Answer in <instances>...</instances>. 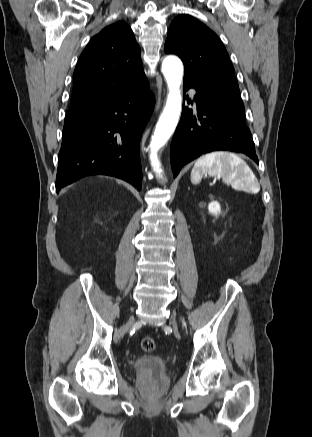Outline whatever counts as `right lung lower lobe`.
I'll list each match as a JSON object with an SVG mask.
<instances>
[{
  "label": "right lung lower lobe",
  "instance_id": "right-lung-lower-lobe-1",
  "mask_svg": "<svg viewBox=\"0 0 312 437\" xmlns=\"http://www.w3.org/2000/svg\"><path fill=\"white\" fill-rule=\"evenodd\" d=\"M154 101L145 75L126 91L66 121L58 156L56 191L104 174L142 185L140 139Z\"/></svg>",
  "mask_w": 312,
  "mask_h": 437
}]
</instances>
